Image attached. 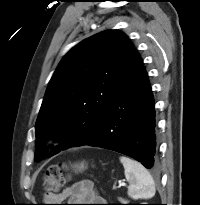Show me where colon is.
<instances>
[{"instance_id":"1","label":"colon","mask_w":200,"mask_h":205,"mask_svg":"<svg viewBox=\"0 0 200 205\" xmlns=\"http://www.w3.org/2000/svg\"><path fill=\"white\" fill-rule=\"evenodd\" d=\"M67 181L66 167L64 165H51L43 178V191L46 196L56 194Z\"/></svg>"}]
</instances>
